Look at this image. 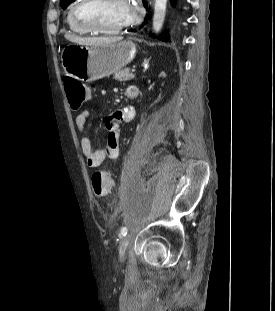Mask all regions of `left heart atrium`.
Listing matches in <instances>:
<instances>
[{
	"label": "left heart atrium",
	"mask_w": 275,
	"mask_h": 311,
	"mask_svg": "<svg viewBox=\"0 0 275 311\" xmlns=\"http://www.w3.org/2000/svg\"><path fill=\"white\" fill-rule=\"evenodd\" d=\"M126 6V23L132 24L138 20L140 14L139 0H124Z\"/></svg>",
	"instance_id": "left-heart-atrium-1"
}]
</instances>
